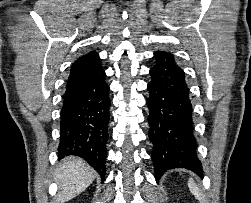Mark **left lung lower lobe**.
I'll return each mask as SVG.
<instances>
[{
    "instance_id": "0a47b994",
    "label": "left lung lower lobe",
    "mask_w": 251,
    "mask_h": 203,
    "mask_svg": "<svg viewBox=\"0 0 251 203\" xmlns=\"http://www.w3.org/2000/svg\"><path fill=\"white\" fill-rule=\"evenodd\" d=\"M156 64L150 69L149 138L153 144L155 179L172 168H185L202 176L194 136L193 108L184 71L174 55L154 53Z\"/></svg>"
}]
</instances>
